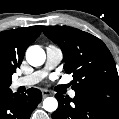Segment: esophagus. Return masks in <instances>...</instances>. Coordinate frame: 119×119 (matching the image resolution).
Instances as JSON below:
<instances>
[{
    "mask_svg": "<svg viewBox=\"0 0 119 119\" xmlns=\"http://www.w3.org/2000/svg\"><path fill=\"white\" fill-rule=\"evenodd\" d=\"M43 97H47L51 95V92L49 90H42Z\"/></svg>",
    "mask_w": 119,
    "mask_h": 119,
    "instance_id": "1",
    "label": "esophagus"
}]
</instances>
